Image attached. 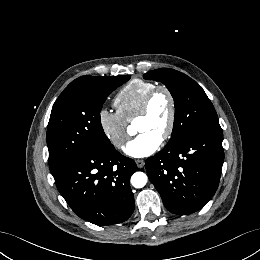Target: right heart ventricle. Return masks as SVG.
Segmentation results:
<instances>
[{"label": "right heart ventricle", "instance_id": "obj_1", "mask_svg": "<svg viewBox=\"0 0 260 260\" xmlns=\"http://www.w3.org/2000/svg\"><path fill=\"white\" fill-rule=\"evenodd\" d=\"M156 86L154 82L134 79L125 85L115 96L114 105L117 112L127 121L135 119L145 95Z\"/></svg>", "mask_w": 260, "mask_h": 260}]
</instances>
